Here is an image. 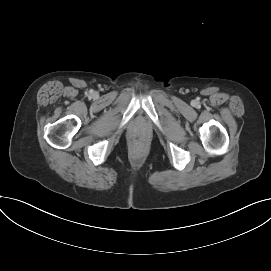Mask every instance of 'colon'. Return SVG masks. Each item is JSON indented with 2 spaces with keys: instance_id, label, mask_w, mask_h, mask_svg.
Returning <instances> with one entry per match:
<instances>
[{
  "instance_id": "obj_1",
  "label": "colon",
  "mask_w": 271,
  "mask_h": 271,
  "mask_svg": "<svg viewBox=\"0 0 271 271\" xmlns=\"http://www.w3.org/2000/svg\"><path fill=\"white\" fill-rule=\"evenodd\" d=\"M135 140H136V141H139V140H140V137H139V136H137V137L135 138Z\"/></svg>"
}]
</instances>
